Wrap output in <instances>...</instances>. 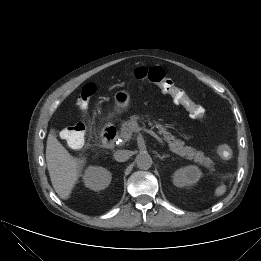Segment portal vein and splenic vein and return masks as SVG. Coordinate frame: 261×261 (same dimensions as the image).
Masks as SVG:
<instances>
[{
  "mask_svg": "<svg viewBox=\"0 0 261 261\" xmlns=\"http://www.w3.org/2000/svg\"><path fill=\"white\" fill-rule=\"evenodd\" d=\"M140 128H136L135 131H140ZM145 132H147L148 134H150L151 136H153L159 143H161L163 146H165V143L163 142V140L152 130H148V129H144Z\"/></svg>",
  "mask_w": 261,
  "mask_h": 261,
  "instance_id": "18ae733b",
  "label": "portal vein and splenic vein"
}]
</instances>
